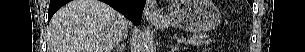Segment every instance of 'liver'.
<instances>
[{
  "instance_id": "obj_1",
  "label": "liver",
  "mask_w": 305,
  "mask_h": 52,
  "mask_svg": "<svg viewBox=\"0 0 305 52\" xmlns=\"http://www.w3.org/2000/svg\"><path fill=\"white\" fill-rule=\"evenodd\" d=\"M127 20L98 0H73L48 27V52H111L125 36Z\"/></svg>"
}]
</instances>
